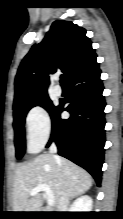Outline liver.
<instances>
[{
    "label": "liver",
    "instance_id": "obj_1",
    "mask_svg": "<svg viewBox=\"0 0 123 219\" xmlns=\"http://www.w3.org/2000/svg\"><path fill=\"white\" fill-rule=\"evenodd\" d=\"M91 175L70 160L53 154H41L32 161L20 166L14 176V212H40L44 194L30 195L39 184L50 186L56 204L63 190L69 198L85 193L92 186Z\"/></svg>",
    "mask_w": 123,
    "mask_h": 219
}]
</instances>
